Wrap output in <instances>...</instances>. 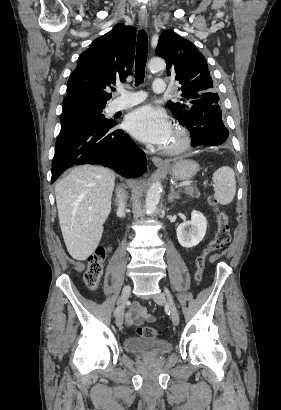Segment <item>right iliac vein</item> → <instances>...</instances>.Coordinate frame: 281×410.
Wrapping results in <instances>:
<instances>
[{"instance_id":"right-iliac-vein-1","label":"right iliac vein","mask_w":281,"mask_h":410,"mask_svg":"<svg viewBox=\"0 0 281 410\" xmlns=\"http://www.w3.org/2000/svg\"><path fill=\"white\" fill-rule=\"evenodd\" d=\"M130 294H131V286H130V285H126V286L123 288L122 293H121L120 303H121L122 305H124V304L126 303V301L128 300V298L130 297ZM123 319H124V317H123V310L121 309V310H119V312L117 313V316H116V325H117L118 327H121V326H122V324H123Z\"/></svg>"}]
</instances>
